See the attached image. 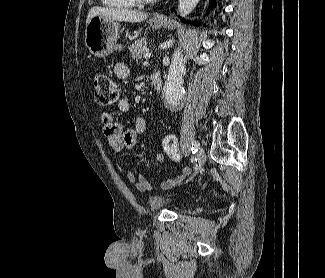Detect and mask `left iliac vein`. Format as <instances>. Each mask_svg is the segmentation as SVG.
I'll list each match as a JSON object with an SVG mask.
<instances>
[{
  "instance_id": "left-iliac-vein-1",
  "label": "left iliac vein",
  "mask_w": 325,
  "mask_h": 278,
  "mask_svg": "<svg viewBox=\"0 0 325 278\" xmlns=\"http://www.w3.org/2000/svg\"><path fill=\"white\" fill-rule=\"evenodd\" d=\"M205 160H206L205 151L202 148H200L197 151V153H196V161H197V164L195 166V174L198 173V171L200 170V168L205 163Z\"/></svg>"
}]
</instances>
